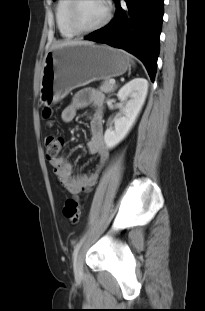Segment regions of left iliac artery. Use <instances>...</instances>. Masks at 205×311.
Here are the masks:
<instances>
[{
	"label": "left iliac artery",
	"mask_w": 205,
	"mask_h": 311,
	"mask_svg": "<svg viewBox=\"0 0 205 311\" xmlns=\"http://www.w3.org/2000/svg\"><path fill=\"white\" fill-rule=\"evenodd\" d=\"M82 244V239L76 244L74 251H73V259L76 260V257L78 255L79 249L81 247Z\"/></svg>",
	"instance_id": "1"
}]
</instances>
